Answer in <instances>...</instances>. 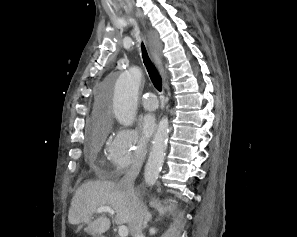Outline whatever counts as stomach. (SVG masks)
<instances>
[{"label": "stomach", "instance_id": "1", "mask_svg": "<svg viewBox=\"0 0 297 237\" xmlns=\"http://www.w3.org/2000/svg\"><path fill=\"white\" fill-rule=\"evenodd\" d=\"M94 237H103V236H101V235H95Z\"/></svg>", "mask_w": 297, "mask_h": 237}]
</instances>
